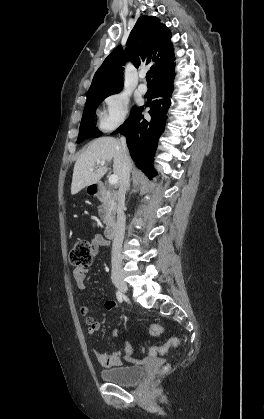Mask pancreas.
I'll return each instance as SVG.
<instances>
[{
	"label": "pancreas",
	"mask_w": 264,
	"mask_h": 419,
	"mask_svg": "<svg viewBox=\"0 0 264 419\" xmlns=\"http://www.w3.org/2000/svg\"><path fill=\"white\" fill-rule=\"evenodd\" d=\"M116 205L113 201L106 198L103 200L102 205L99 207V215L103 219L104 223H108L112 219V215L115 213Z\"/></svg>",
	"instance_id": "1"
}]
</instances>
